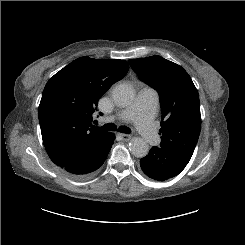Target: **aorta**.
Returning <instances> with one entry per match:
<instances>
[{
	"mask_svg": "<svg viewBox=\"0 0 245 245\" xmlns=\"http://www.w3.org/2000/svg\"><path fill=\"white\" fill-rule=\"evenodd\" d=\"M113 100L121 107L129 105L134 99V89L127 84H119L113 89ZM130 152L137 158L145 157L149 152L146 141L139 137H134L130 142Z\"/></svg>",
	"mask_w": 245,
	"mask_h": 245,
	"instance_id": "762f6f07",
	"label": "aorta"
}]
</instances>
